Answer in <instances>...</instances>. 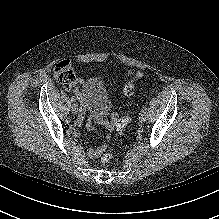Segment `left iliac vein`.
<instances>
[{
    "mask_svg": "<svg viewBox=\"0 0 219 219\" xmlns=\"http://www.w3.org/2000/svg\"><path fill=\"white\" fill-rule=\"evenodd\" d=\"M146 118H147L146 111H141L140 114H139V120H140V122H145V121H146Z\"/></svg>",
    "mask_w": 219,
    "mask_h": 219,
    "instance_id": "left-iliac-vein-1",
    "label": "left iliac vein"
}]
</instances>
